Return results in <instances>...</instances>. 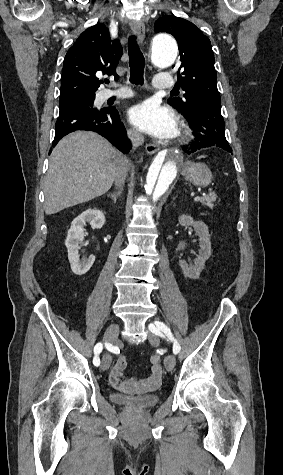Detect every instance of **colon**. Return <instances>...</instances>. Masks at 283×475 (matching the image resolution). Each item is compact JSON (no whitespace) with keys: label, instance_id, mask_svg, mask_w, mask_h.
<instances>
[{"label":"colon","instance_id":"1","mask_svg":"<svg viewBox=\"0 0 283 475\" xmlns=\"http://www.w3.org/2000/svg\"><path fill=\"white\" fill-rule=\"evenodd\" d=\"M160 364V356L158 354H154L151 358H150V365L153 367V368H157Z\"/></svg>","mask_w":283,"mask_h":475}]
</instances>
